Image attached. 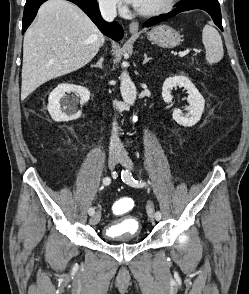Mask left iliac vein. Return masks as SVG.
Masks as SVG:
<instances>
[{"mask_svg":"<svg viewBox=\"0 0 249 294\" xmlns=\"http://www.w3.org/2000/svg\"><path fill=\"white\" fill-rule=\"evenodd\" d=\"M118 161L123 165L125 166L126 168L128 169H133V162L132 160L130 159V157L128 156V154L124 151H121L119 153V158H118ZM147 213H148V216L150 217L151 221L153 222L154 221V205L151 201L148 202L147 204Z\"/></svg>","mask_w":249,"mask_h":294,"instance_id":"left-iliac-vein-1","label":"left iliac vein"}]
</instances>
